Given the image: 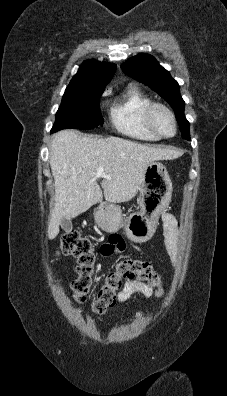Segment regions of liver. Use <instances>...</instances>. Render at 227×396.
Here are the masks:
<instances>
[{
    "label": "liver",
    "instance_id": "liver-1",
    "mask_svg": "<svg viewBox=\"0 0 227 396\" xmlns=\"http://www.w3.org/2000/svg\"><path fill=\"white\" fill-rule=\"evenodd\" d=\"M176 150L155 148L119 137L94 138L68 129L56 133L50 146L55 204L48 223V238L59 234L62 218H75L94 204L121 203L138 192L144 168L156 160L177 157ZM104 168L99 176L97 169ZM108 177V178H107ZM102 178L101 187L97 180Z\"/></svg>",
    "mask_w": 227,
    "mask_h": 396
}]
</instances>
